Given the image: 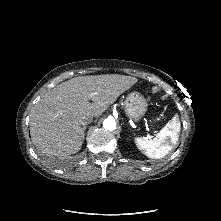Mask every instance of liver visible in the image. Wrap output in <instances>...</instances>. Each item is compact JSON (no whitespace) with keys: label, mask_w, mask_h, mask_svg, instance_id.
Here are the masks:
<instances>
[{"label":"liver","mask_w":221,"mask_h":221,"mask_svg":"<svg viewBox=\"0 0 221 221\" xmlns=\"http://www.w3.org/2000/svg\"><path fill=\"white\" fill-rule=\"evenodd\" d=\"M137 81L131 76L106 74L75 77L55 86L32 109L30 133L34 144L49 156L77 153L83 143L81 119L99 117Z\"/></svg>","instance_id":"1"}]
</instances>
